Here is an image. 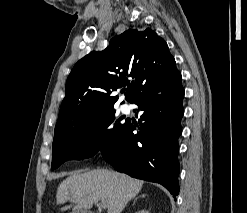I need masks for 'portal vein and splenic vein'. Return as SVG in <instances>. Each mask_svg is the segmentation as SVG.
<instances>
[{
  "instance_id": "obj_1",
  "label": "portal vein and splenic vein",
  "mask_w": 247,
  "mask_h": 213,
  "mask_svg": "<svg viewBox=\"0 0 247 213\" xmlns=\"http://www.w3.org/2000/svg\"><path fill=\"white\" fill-rule=\"evenodd\" d=\"M99 205H100L102 208H105V207H106V203L103 202V201H101V202L99 203Z\"/></svg>"
}]
</instances>
